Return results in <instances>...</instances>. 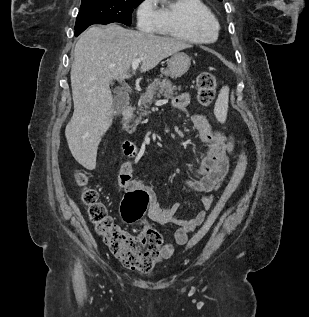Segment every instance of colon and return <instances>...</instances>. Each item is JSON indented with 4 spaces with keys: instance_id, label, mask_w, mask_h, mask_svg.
Masks as SVG:
<instances>
[{
    "instance_id": "obj_1",
    "label": "colon",
    "mask_w": 309,
    "mask_h": 317,
    "mask_svg": "<svg viewBox=\"0 0 309 317\" xmlns=\"http://www.w3.org/2000/svg\"><path fill=\"white\" fill-rule=\"evenodd\" d=\"M197 89L199 102L204 106L210 105L215 97L216 91V79L214 75L208 72L199 74L197 78ZM246 165L247 157L245 152L242 151L231 179L208 219L191 239L190 245L198 242L209 231L238 188L245 173ZM77 182L83 186L81 199L83 204L87 207L91 222L97 233L110 247L115 257L129 269L142 272L149 271L159 254V248L162 243L160 233L153 227H147L138 236L125 231L116 224L108 214L106 207L99 200L97 190L87 185L88 179L84 173H77ZM147 206L148 195L146 192L139 190L126 193L121 206L122 216L127 222H135L142 218Z\"/></svg>"
}]
</instances>
